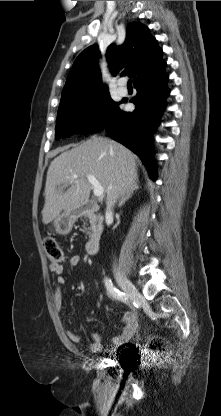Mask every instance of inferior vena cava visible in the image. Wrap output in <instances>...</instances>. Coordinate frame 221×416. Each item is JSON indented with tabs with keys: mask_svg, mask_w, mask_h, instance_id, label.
I'll return each mask as SVG.
<instances>
[{
	"mask_svg": "<svg viewBox=\"0 0 221 416\" xmlns=\"http://www.w3.org/2000/svg\"><path fill=\"white\" fill-rule=\"evenodd\" d=\"M115 200L112 197L108 198V202H107V210H106V214L107 215H112V206L114 204Z\"/></svg>",
	"mask_w": 221,
	"mask_h": 416,
	"instance_id": "602c4592",
	"label": "inferior vena cava"
}]
</instances>
